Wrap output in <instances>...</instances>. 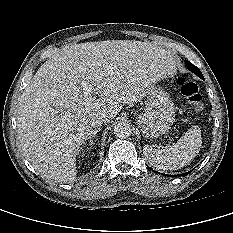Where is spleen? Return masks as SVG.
Returning <instances> with one entry per match:
<instances>
[{"label":"spleen","mask_w":233,"mask_h":233,"mask_svg":"<svg viewBox=\"0 0 233 233\" xmlns=\"http://www.w3.org/2000/svg\"><path fill=\"white\" fill-rule=\"evenodd\" d=\"M201 145V130L195 125L184 133L176 143L161 149L145 145L143 151L146 159L154 168L175 170L189 164L199 153Z\"/></svg>","instance_id":"1"}]
</instances>
